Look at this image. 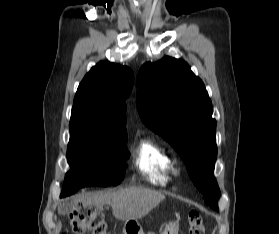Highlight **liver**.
<instances>
[{
	"instance_id": "6515ba94",
	"label": "liver",
	"mask_w": 279,
	"mask_h": 234,
	"mask_svg": "<svg viewBox=\"0 0 279 234\" xmlns=\"http://www.w3.org/2000/svg\"><path fill=\"white\" fill-rule=\"evenodd\" d=\"M164 199L165 196L157 191L142 187H128L115 192L86 194L75 200L70 206L74 207L78 202H82L102 209L104 204H109L116 219L128 221L146 216ZM59 209L58 212L61 214Z\"/></svg>"
}]
</instances>
